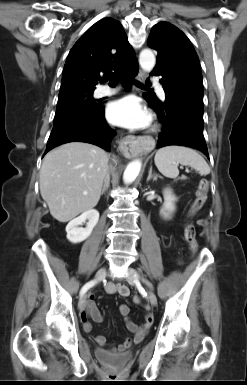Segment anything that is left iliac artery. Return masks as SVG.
<instances>
[{
    "mask_svg": "<svg viewBox=\"0 0 247 385\" xmlns=\"http://www.w3.org/2000/svg\"><path fill=\"white\" fill-rule=\"evenodd\" d=\"M147 284H148L149 286H151V284H150L149 282H147Z\"/></svg>",
    "mask_w": 247,
    "mask_h": 385,
    "instance_id": "left-iliac-artery-1",
    "label": "left iliac artery"
}]
</instances>
